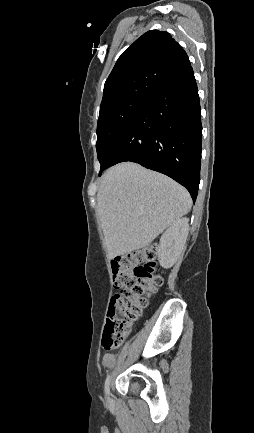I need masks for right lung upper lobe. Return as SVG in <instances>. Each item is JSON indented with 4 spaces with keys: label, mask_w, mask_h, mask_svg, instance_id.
I'll list each match as a JSON object with an SVG mask.
<instances>
[{
    "label": "right lung upper lobe",
    "mask_w": 254,
    "mask_h": 433,
    "mask_svg": "<svg viewBox=\"0 0 254 433\" xmlns=\"http://www.w3.org/2000/svg\"><path fill=\"white\" fill-rule=\"evenodd\" d=\"M189 65L186 52L169 33L148 31L117 60L105 82L100 109L126 99H150Z\"/></svg>",
    "instance_id": "right-lung-upper-lobe-1"
}]
</instances>
